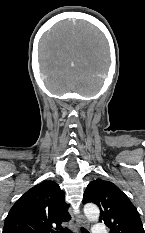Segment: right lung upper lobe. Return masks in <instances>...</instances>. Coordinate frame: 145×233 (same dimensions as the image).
<instances>
[{"label": "right lung upper lobe", "mask_w": 145, "mask_h": 233, "mask_svg": "<svg viewBox=\"0 0 145 233\" xmlns=\"http://www.w3.org/2000/svg\"><path fill=\"white\" fill-rule=\"evenodd\" d=\"M65 194L53 181H44L19 198L9 211L2 233H62L71 219Z\"/></svg>", "instance_id": "obj_1"}]
</instances>
